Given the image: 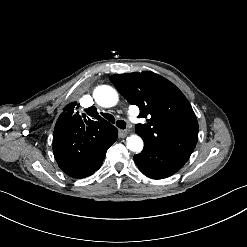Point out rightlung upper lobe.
<instances>
[{
  "mask_svg": "<svg viewBox=\"0 0 247 247\" xmlns=\"http://www.w3.org/2000/svg\"><path fill=\"white\" fill-rule=\"evenodd\" d=\"M76 105H67L56 122L53 143L57 158L82 159L108 146L118 135L117 129L102 119L95 107L86 109L87 115H80L75 112Z\"/></svg>",
  "mask_w": 247,
  "mask_h": 247,
  "instance_id": "obj_1",
  "label": "right lung upper lobe"
}]
</instances>
